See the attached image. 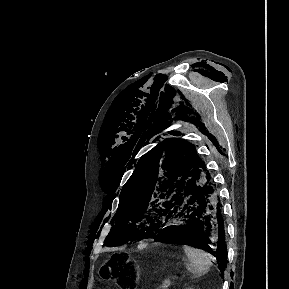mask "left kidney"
I'll return each instance as SVG.
<instances>
[{
	"label": "left kidney",
	"instance_id": "1",
	"mask_svg": "<svg viewBox=\"0 0 289 289\" xmlns=\"http://www.w3.org/2000/svg\"><path fill=\"white\" fill-rule=\"evenodd\" d=\"M185 289H194V288L188 287V288H185Z\"/></svg>",
	"mask_w": 289,
	"mask_h": 289
}]
</instances>
